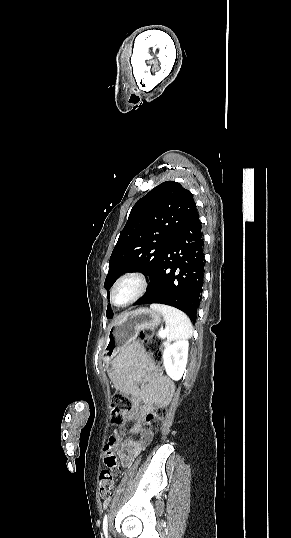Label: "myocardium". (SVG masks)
I'll return each instance as SVG.
<instances>
[{"mask_svg": "<svg viewBox=\"0 0 291 538\" xmlns=\"http://www.w3.org/2000/svg\"><path fill=\"white\" fill-rule=\"evenodd\" d=\"M134 283V292L122 303L115 302V294L120 286L125 283ZM149 281L147 277L139 271H129L122 274L112 285L109 294L110 303L115 307H126L139 300L148 290Z\"/></svg>", "mask_w": 291, "mask_h": 538, "instance_id": "myocardium-1", "label": "myocardium"}]
</instances>
